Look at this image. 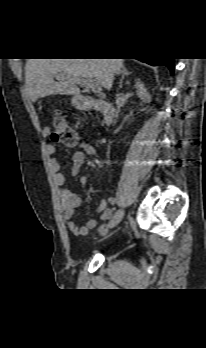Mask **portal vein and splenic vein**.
<instances>
[{
    "mask_svg": "<svg viewBox=\"0 0 206 348\" xmlns=\"http://www.w3.org/2000/svg\"><path fill=\"white\" fill-rule=\"evenodd\" d=\"M76 83H78L82 87L90 88L95 92H98L101 90V84L99 81L95 79H84V78H78L75 80Z\"/></svg>",
    "mask_w": 206,
    "mask_h": 348,
    "instance_id": "1",
    "label": "portal vein and splenic vein"
}]
</instances>
